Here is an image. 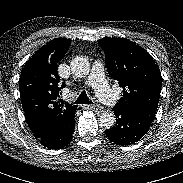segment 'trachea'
<instances>
[{"label":"trachea","instance_id":"obj_1","mask_svg":"<svg viewBox=\"0 0 183 183\" xmlns=\"http://www.w3.org/2000/svg\"><path fill=\"white\" fill-rule=\"evenodd\" d=\"M74 103L75 104H90V103H92V101L89 99L86 92L83 91V92H81V94L79 95L77 100H75Z\"/></svg>","mask_w":183,"mask_h":183}]
</instances>
